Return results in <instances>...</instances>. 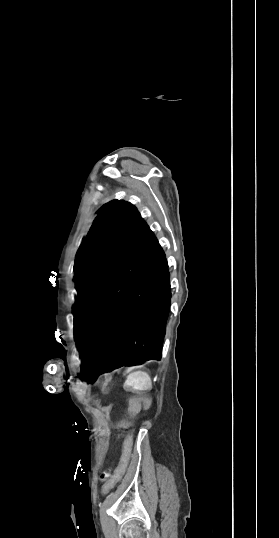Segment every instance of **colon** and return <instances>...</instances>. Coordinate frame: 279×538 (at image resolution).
I'll return each mask as SVG.
<instances>
[{"instance_id": "5ec220e1", "label": "colon", "mask_w": 279, "mask_h": 538, "mask_svg": "<svg viewBox=\"0 0 279 538\" xmlns=\"http://www.w3.org/2000/svg\"><path fill=\"white\" fill-rule=\"evenodd\" d=\"M139 402H140V399L137 397L133 398L130 401L129 408H128V417L122 419L118 423V427L126 428L130 425L131 417H133L139 410ZM133 444H134L133 434L127 435L122 446V452L119 459V463L117 467L115 468L114 472L112 474H109V472L106 471L102 475L103 478H108L103 485V489H102L103 494L105 495L109 494L111 490L117 485V483L122 479L130 461Z\"/></svg>"}]
</instances>
